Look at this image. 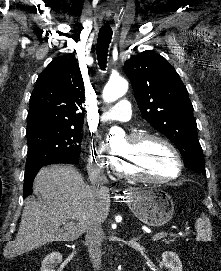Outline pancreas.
Segmentation results:
<instances>
[{
    "label": "pancreas",
    "instance_id": "obj_1",
    "mask_svg": "<svg viewBox=\"0 0 221 271\" xmlns=\"http://www.w3.org/2000/svg\"><path fill=\"white\" fill-rule=\"evenodd\" d=\"M176 243H177L176 239H165L164 240V247H175Z\"/></svg>",
    "mask_w": 221,
    "mask_h": 271
}]
</instances>
